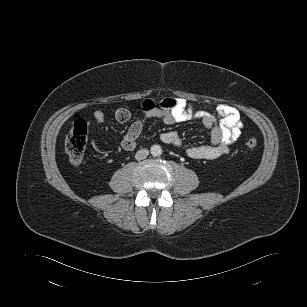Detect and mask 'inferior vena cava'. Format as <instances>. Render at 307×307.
<instances>
[{
    "instance_id": "1",
    "label": "inferior vena cava",
    "mask_w": 307,
    "mask_h": 307,
    "mask_svg": "<svg viewBox=\"0 0 307 307\" xmlns=\"http://www.w3.org/2000/svg\"><path fill=\"white\" fill-rule=\"evenodd\" d=\"M149 155V151L147 149H141L136 152L135 158L136 160H143Z\"/></svg>"
}]
</instances>
